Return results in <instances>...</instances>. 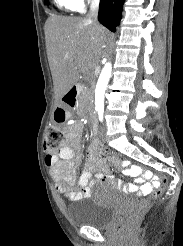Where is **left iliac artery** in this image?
Listing matches in <instances>:
<instances>
[{
  "label": "left iliac artery",
  "instance_id": "obj_1",
  "mask_svg": "<svg viewBox=\"0 0 183 246\" xmlns=\"http://www.w3.org/2000/svg\"><path fill=\"white\" fill-rule=\"evenodd\" d=\"M103 113H104L103 110H99V111H98L99 120H100L101 122L103 121Z\"/></svg>",
  "mask_w": 183,
  "mask_h": 246
}]
</instances>
